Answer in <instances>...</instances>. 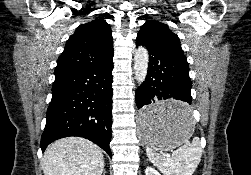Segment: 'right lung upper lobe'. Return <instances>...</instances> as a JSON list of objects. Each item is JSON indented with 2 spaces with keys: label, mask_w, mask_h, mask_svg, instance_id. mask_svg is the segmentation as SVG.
Masks as SVG:
<instances>
[{
  "label": "right lung upper lobe",
  "mask_w": 251,
  "mask_h": 175,
  "mask_svg": "<svg viewBox=\"0 0 251 175\" xmlns=\"http://www.w3.org/2000/svg\"><path fill=\"white\" fill-rule=\"evenodd\" d=\"M111 27L103 17L78 26L57 60L55 74L105 64L113 57Z\"/></svg>",
  "instance_id": "obj_1"
}]
</instances>
